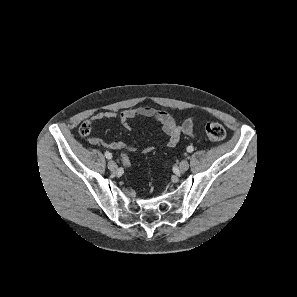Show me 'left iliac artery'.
<instances>
[{
  "label": "left iliac artery",
  "instance_id": "left-iliac-artery-1",
  "mask_svg": "<svg viewBox=\"0 0 297 297\" xmlns=\"http://www.w3.org/2000/svg\"><path fill=\"white\" fill-rule=\"evenodd\" d=\"M193 150H194V149H193L192 146H188V147H187V151H188V152H192ZM187 158L189 159V157H187Z\"/></svg>",
  "mask_w": 297,
  "mask_h": 297
}]
</instances>
